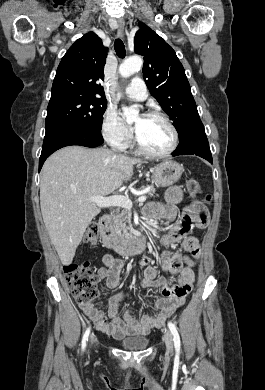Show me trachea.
<instances>
[{"mask_svg": "<svg viewBox=\"0 0 265 390\" xmlns=\"http://www.w3.org/2000/svg\"><path fill=\"white\" fill-rule=\"evenodd\" d=\"M114 48H115L116 54L120 58H124L125 57L126 50H125V46H124V44H123L121 39H116L115 40Z\"/></svg>", "mask_w": 265, "mask_h": 390, "instance_id": "3493384b", "label": "trachea"}]
</instances>
